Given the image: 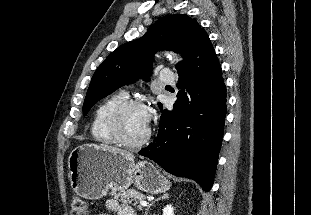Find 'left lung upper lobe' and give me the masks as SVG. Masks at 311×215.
<instances>
[{
  "label": "left lung upper lobe",
  "instance_id": "1",
  "mask_svg": "<svg viewBox=\"0 0 311 215\" xmlns=\"http://www.w3.org/2000/svg\"><path fill=\"white\" fill-rule=\"evenodd\" d=\"M206 35L197 21L187 15L175 14L160 18L143 37L121 45L98 67L87 91L83 114L86 115L95 103L117 88L136 82L139 78L150 80L151 61L156 51L171 49L180 53L185 60Z\"/></svg>",
  "mask_w": 311,
  "mask_h": 215
}]
</instances>
